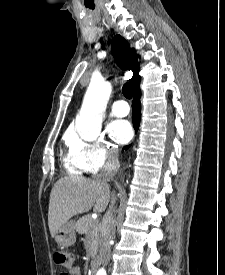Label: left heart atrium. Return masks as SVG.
<instances>
[{"label": "left heart atrium", "mask_w": 225, "mask_h": 275, "mask_svg": "<svg viewBox=\"0 0 225 275\" xmlns=\"http://www.w3.org/2000/svg\"><path fill=\"white\" fill-rule=\"evenodd\" d=\"M110 136L117 143H125L132 136V128L126 120L113 121L108 127Z\"/></svg>", "instance_id": "39dd6f15"}]
</instances>
